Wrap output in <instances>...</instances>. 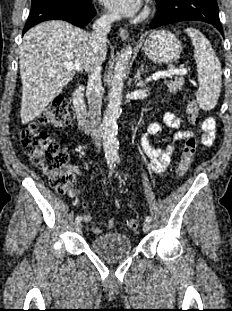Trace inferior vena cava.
I'll use <instances>...</instances> for the list:
<instances>
[{
    "mask_svg": "<svg viewBox=\"0 0 232 311\" xmlns=\"http://www.w3.org/2000/svg\"><path fill=\"white\" fill-rule=\"evenodd\" d=\"M118 18L117 15H103L93 24V33L89 35L88 43L94 55V67L90 70L87 83L86 96L89 104V116L91 120L92 138L98 152L101 148V58L100 53L106 46V37L111 24Z\"/></svg>",
    "mask_w": 232,
    "mask_h": 311,
    "instance_id": "1",
    "label": "inferior vena cava"
}]
</instances>
